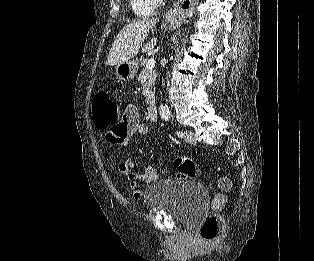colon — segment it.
<instances>
[{
    "label": "colon",
    "mask_w": 314,
    "mask_h": 261,
    "mask_svg": "<svg viewBox=\"0 0 314 261\" xmlns=\"http://www.w3.org/2000/svg\"><path fill=\"white\" fill-rule=\"evenodd\" d=\"M93 121L97 128L107 129L110 126L118 125L121 117L119 105L106 92H98L92 101ZM126 138V136H125ZM110 142V140H108ZM174 166L178 171V177L182 179H193L198 176L197 163L189 157H180L174 160ZM219 185L223 190L230 188V184L225 179L219 180ZM225 192L216 195L213 201L214 214L210 215L200 228V236L207 242L216 240L222 230V217L220 211L227 202Z\"/></svg>",
    "instance_id": "5ec220e1"
}]
</instances>
